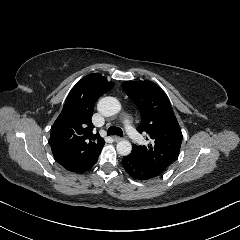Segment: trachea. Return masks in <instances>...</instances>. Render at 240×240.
I'll use <instances>...</instances> for the list:
<instances>
[{
  "mask_svg": "<svg viewBox=\"0 0 240 240\" xmlns=\"http://www.w3.org/2000/svg\"><path fill=\"white\" fill-rule=\"evenodd\" d=\"M107 135L108 136L117 135L119 137H122L123 136V131L120 127L114 125V126L109 127Z\"/></svg>",
  "mask_w": 240,
  "mask_h": 240,
  "instance_id": "trachea-1",
  "label": "trachea"
}]
</instances>
